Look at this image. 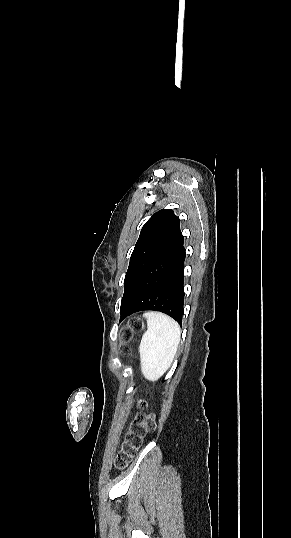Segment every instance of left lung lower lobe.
I'll return each mask as SVG.
<instances>
[{
	"mask_svg": "<svg viewBox=\"0 0 291 538\" xmlns=\"http://www.w3.org/2000/svg\"><path fill=\"white\" fill-rule=\"evenodd\" d=\"M181 234L142 274L127 301L121 305L123 320L141 310L164 312L182 324L184 305V261Z\"/></svg>",
	"mask_w": 291,
	"mask_h": 538,
	"instance_id": "1",
	"label": "left lung lower lobe"
}]
</instances>
